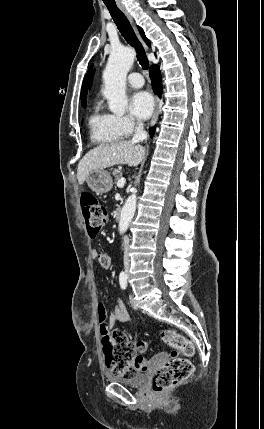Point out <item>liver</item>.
<instances>
[{
  "mask_svg": "<svg viewBox=\"0 0 264 429\" xmlns=\"http://www.w3.org/2000/svg\"><path fill=\"white\" fill-rule=\"evenodd\" d=\"M145 158V148L132 141L103 144L90 150L78 164L77 179L84 183L93 170L105 169L116 164L137 166Z\"/></svg>",
  "mask_w": 264,
  "mask_h": 429,
  "instance_id": "liver-1",
  "label": "liver"
}]
</instances>
